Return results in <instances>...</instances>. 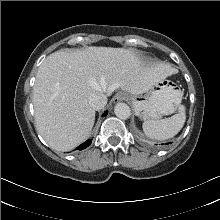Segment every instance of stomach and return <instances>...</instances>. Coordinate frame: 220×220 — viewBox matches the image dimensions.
<instances>
[{
  "mask_svg": "<svg viewBox=\"0 0 220 220\" xmlns=\"http://www.w3.org/2000/svg\"><path fill=\"white\" fill-rule=\"evenodd\" d=\"M182 93L170 80H160L145 94L144 99L139 96L131 97L135 113L141 119H159L174 113L179 107Z\"/></svg>",
  "mask_w": 220,
  "mask_h": 220,
  "instance_id": "0dacf381",
  "label": "stomach"
}]
</instances>
